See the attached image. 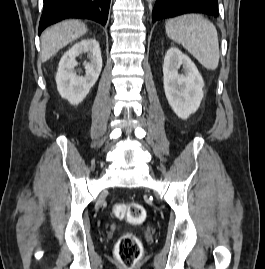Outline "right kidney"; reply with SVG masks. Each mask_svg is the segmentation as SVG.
<instances>
[{
    "label": "right kidney",
    "instance_id": "obj_1",
    "mask_svg": "<svg viewBox=\"0 0 265 269\" xmlns=\"http://www.w3.org/2000/svg\"><path fill=\"white\" fill-rule=\"evenodd\" d=\"M87 53L89 62L84 61L85 76L75 72L78 65L76 58ZM102 69V57L98 41L84 39L73 45L61 58L56 73L57 90L62 98L73 105H78L96 83Z\"/></svg>",
    "mask_w": 265,
    "mask_h": 269
}]
</instances>
